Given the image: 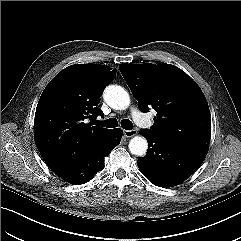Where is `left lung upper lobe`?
<instances>
[{
  "mask_svg": "<svg viewBox=\"0 0 241 241\" xmlns=\"http://www.w3.org/2000/svg\"><path fill=\"white\" fill-rule=\"evenodd\" d=\"M141 111H157L146 131L178 145L207 152L211 116L200 87L180 68L166 63L119 65Z\"/></svg>",
  "mask_w": 241,
  "mask_h": 241,
  "instance_id": "5c2ea615",
  "label": "left lung upper lobe"
}]
</instances>
